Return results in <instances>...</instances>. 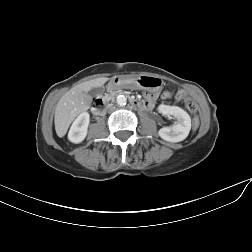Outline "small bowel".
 <instances>
[{
	"mask_svg": "<svg viewBox=\"0 0 252 252\" xmlns=\"http://www.w3.org/2000/svg\"><path fill=\"white\" fill-rule=\"evenodd\" d=\"M178 93H181L184 97L186 94L183 91H180ZM156 99V94L148 95L147 100L144 102V109L149 110L154 106V101Z\"/></svg>",
	"mask_w": 252,
	"mask_h": 252,
	"instance_id": "obj_1",
	"label": "small bowel"
}]
</instances>
